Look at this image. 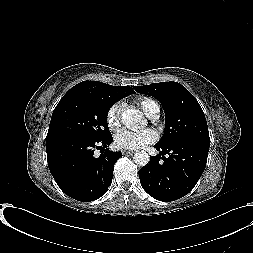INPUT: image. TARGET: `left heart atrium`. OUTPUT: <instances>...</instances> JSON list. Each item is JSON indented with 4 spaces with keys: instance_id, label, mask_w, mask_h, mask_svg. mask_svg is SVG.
Masks as SVG:
<instances>
[{
    "instance_id": "obj_1",
    "label": "left heart atrium",
    "mask_w": 253,
    "mask_h": 253,
    "mask_svg": "<svg viewBox=\"0 0 253 253\" xmlns=\"http://www.w3.org/2000/svg\"><path fill=\"white\" fill-rule=\"evenodd\" d=\"M156 140L157 133L152 129H145L139 132L123 129L116 134L114 142L119 149L136 150L154 143Z\"/></svg>"
}]
</instances>
